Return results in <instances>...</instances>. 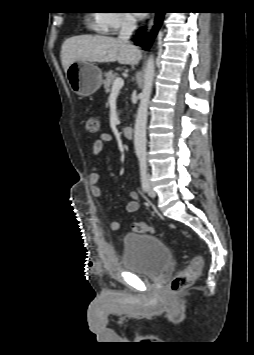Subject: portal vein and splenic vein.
<instances>
[{
	"mask_svg": "<svg viewBox=\"0 0 254 355\" xmlns=\"http://www.w3.org/2000/svg\"><path fill=\"white\" fill-rule=\"evenodd\" d=\"M124 85V80L122 78H117L112 86V91H119Z\"/></svg>",
	"mask_w": 254,
	"mask_h": 355,
	"instance_id": "portal-vein-and-splenic-vein-1",
	"label": "portal vein and splenic vein"
}]
</instances>
